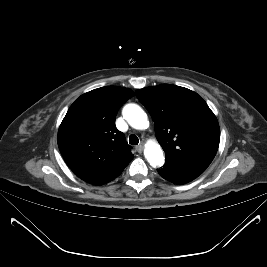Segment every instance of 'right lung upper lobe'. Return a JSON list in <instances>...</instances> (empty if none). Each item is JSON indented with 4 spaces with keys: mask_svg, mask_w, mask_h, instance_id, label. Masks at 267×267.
Here are the masks:
<instances>
[{
    "mask_svg": "<svg viewBox=\"0 0 267 267\" xmlns=\"http://www.w3.org/2000/svg\"><path fill=\"white\" fill-rule=\"evenodd\" d=\"M133 96L131 89L107 86L81 95L70 106L57 141L67 165L85 182H110L133 159L124 134L115 126L119 108Z\"/></svg>",
    "mask_w": 267,
    "mask_h": 267,
    "instance_id": "1",
    "label": "right lung upper lobe"
}]
</instances>
